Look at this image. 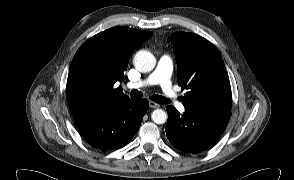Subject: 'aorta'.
<instances>
[{
	"label": "aorta",
	"mask_w": 294,
	"mask_h": 180,
	"mask_svg": "<svg viewBox=\"0 0 294 180\" xmlns=\"http://www.w3.org/2000/svg\"><path fill=\"white\" fill-rule=\"evenodd\" d=\"M134 65L141 72H150L156 65V59L151 52L140 50L134 56ZM151 119L156 124H164L167 120V113L162 109H156L152 112Z\"/></svg>",
	"instance_id": "1"
}]
</instances>
